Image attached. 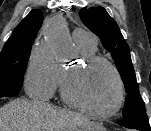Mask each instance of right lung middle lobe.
Instances as JSON below:
<instances>
[{
    "instance_id": "dd1d6c3e",
    "label": "right lung middle lobe",
    "mask_w": 151,
    "mask_h": 131,
    "mask_svg": "<svg viewBox=\"0 0 151 131\" xmlns=\"http://www.w3.org/2000/svg\"><path fill=\"white\" fill-rule=\"evenodd\" d=\"M32 45L3 48L0 54V98L12 97L22 88Z\"/></svg>"
}]
</instances>
